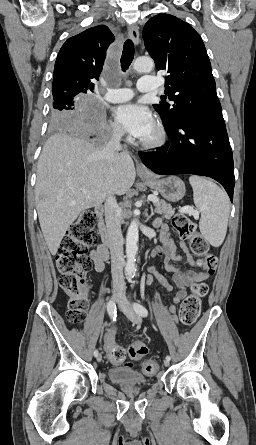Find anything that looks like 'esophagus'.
<instances>
[{
	"label": "esophagus",
	"mask_w": 256,
	"mask_h": 445,
	"mask_svg": "<svg viewBox=\"0 0 256 445\" xmlns=\"http://www.w3.org/2000/svg\"><path fill=\"white\" fill-rule=\"evenodd\" d=\"M128 34L131 40L134 42V44L139 43V30L136 26L130 25L128 26ZM137 171L144 173V174H150L149 170L140 162L136 165Z\"/></svg>",
	"instance_id": "esophagus-1"
}]
</instances>
